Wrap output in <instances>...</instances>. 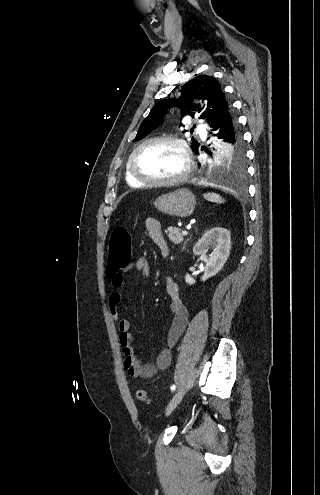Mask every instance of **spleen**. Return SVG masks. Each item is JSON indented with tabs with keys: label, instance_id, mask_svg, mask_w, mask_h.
Listing matches in <instances>:
<instances>
[{
	"label": "spleen",
	"instance_id": "1",
	"mask_svg": "<svg viewBox=\"0 0 320 495\" xmlns=\"http://www.w3.org/2000/svg\"><path fill=\"white\" fill-rule=\"evenodd\" d=\"M204 197L205 199H207L208 201H211V202H214V203H223L224 200L222 199V197L216 193H206L204 194Z\"/></svg>",
	"mask_w": 320,
	"mask_h": 495
}]
</instances>
